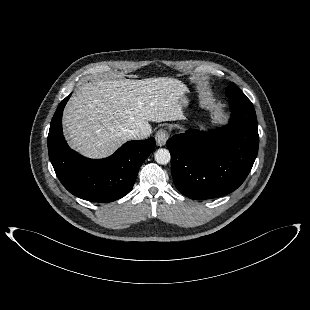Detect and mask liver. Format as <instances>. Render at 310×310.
<instances>
[{"mask_svg":"<svg viewBox=\"0 0 310 310\" xmlns=\"http://www.w3.org/2000/svg\"><path fill=\"white\" fill-rule=\"evenodd\" d=\"M187 92L183 82L169 77L85 83L64 111L69 144L86 157L104 158L130 140L128 130L149 136V121L181 119Z\"/></svg>","mask_w":310,"mask_h":310,"instance_id":"1","label":"liver"}]
</instances>
